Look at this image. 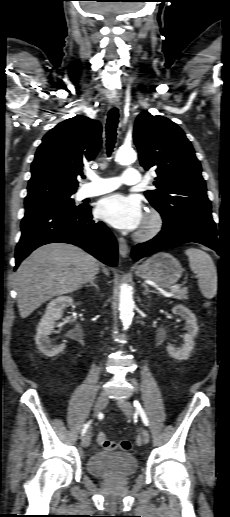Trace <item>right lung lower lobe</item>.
<instances>
[{
	"mask_svg": "<svg viewBox=\"0 0 230 517\" xmlns=\"http://www.w3.org/2000/svg\"><path fill=\"white\" fill-rule=\"evenodd\" d=\"M21 231L15 252V268L37 247L53 242L74 244L109 266L117 264L116 239L103 222L93 220L90 206L79 210L28 208L21 222Z\"/></svg>",
	"mask_w": 230,
	"mask_h": 517,
	"instance_id": "obj_1",
	"label": "right lung lower lobe"
}]
</instances>
